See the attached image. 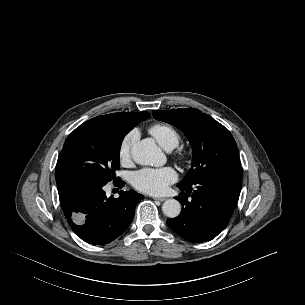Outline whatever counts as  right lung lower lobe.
I'll return each instance as SVG.
<instances>
[{"instance_id": "right-lung-lower-lobe-1", "label": "right lung lower lobe", "mask_w": 305, "mask_h": 305, "mask_svg": "<svg viewBox=\"0 0 305 305\" xmlns=\"http://www.w3.org/2000/svg\"><path fill=\"white\" fill-rule=\"evenodd\" d=\"M60 205L74 233L92 245H104L120 236L130 225L138 202L144 198L134 190L107 198L103 184L81 179L56 181ZM124 185L121 180L115 182Z\"/></svg>"}]
</instances>
